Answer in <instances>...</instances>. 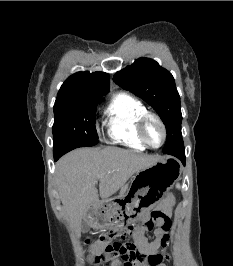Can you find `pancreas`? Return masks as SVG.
Instances as JSON below:
<instances>
[{
	"label": "pancreas",
	"mask_w": 233,
	"mask_h": 266,
	"mask_svg": "<svg viewBox=\"0 0 233 266\" xmlns=\"http://www.w3.org/2000/svg\"><path fill=\"white\" fill-rule=\"evenodd\" d=\"M127 188H128L127 185H126L125 187H123V188L121 189V191H120V194H121V195L124 194Z\"/></svg>",
	"instance_id": "pancreas-1"
}]
</instances>
